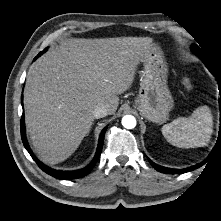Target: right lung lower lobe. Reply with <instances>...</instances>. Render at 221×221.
I'll list each match as a JSON object with an SVG mask.
<instances>
[{
    "label": "right lung lower lobe",
    "mask_w": 221,
    "mask_h": 221,
    "mask_svg": "<svg viewBox=\"0 0 221 221\" xmlns=\"http://www.w3.org/2000/svg\"><path fill=\"white\" fill-rule=\"evenodd\" d=\"M42 53L43 52L39 53V55L42 54ZM22 106H23V103H22ZM106 130H107V127L105 129H103V131L101 132L97 152H96L95 157L93 158L92 162L87 167H85L83 169L75 170V171H60V170H54V169L49 168L48 166L44 165L42 162H40L34 156L31 149L29 148V145H28V142H27V139H26L24 116L22 115V118H21V138H22V142H23L26 150L29 152L31 157L34 159V161L37 163V165L44 172H46L50 176H53L57 179H77V178H81V177L86 176L87 174H89L90 171L95 166V164H96V162H97V160L100 156V153L102 151L103 142H104V135H105Z\"/></svg>",
    "instance_id": "98d812e1"
}]
</instances>
